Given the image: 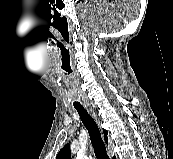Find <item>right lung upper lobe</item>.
<instances>
[{
    "label": "right lung upper lobe",
    "mask_w": 173,
    "mask_h": 159,
    "mask_svg": "<svg viewBox=\"0 0 173 159\" xmlns=\"http://www.w3.org/2000/svg\"><path fill=\"white\" fill-rule=\"evenodd\" d=\"M103 131H104V139H107L106 135L108 132L106 130H103ZM70 158H71L70 145L67 144L60 150L56 159H70ZM113 159H115V157H113Z\"/></svg>",
    "instance_id": "1"
}]
</instances>
